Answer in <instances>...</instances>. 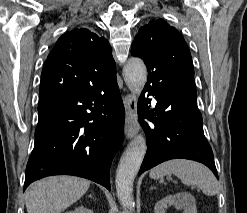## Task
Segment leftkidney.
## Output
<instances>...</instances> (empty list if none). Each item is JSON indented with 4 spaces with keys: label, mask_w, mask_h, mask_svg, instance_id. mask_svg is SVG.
<instances>
[{
    "label": "left kidney",
    "mask_w": 247,
    "mask_h": 213,
    "mask_svg": "<svg viewBox=\"0 0 247 213\" xmlns=\"http://www.w3.org/2000/svg\"><path fill=\"white\" fill-rule=\"evenodd\" d=\"M168 206H175L184 213H197L194 197L186 192L166 196L156 203L154 212L165 213V208Z\"/></svg>",
    "instance_id": "obj_1"
}]
</instances>
